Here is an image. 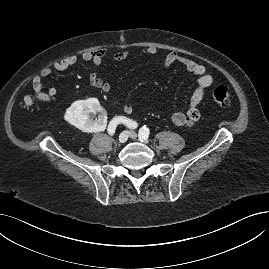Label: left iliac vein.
I'll list each match as a JSON object with an SVG mask.
<instances>
[{"label":"left iliac vein","instance_id":"4c4485c4","mask_svg":"<svg viewBox=\"0 0 269 269\" xmlns=\"http://www.w3.org/2000/svg\"><path fill=\"white\" fill-rule=\"evenodd\" d=\"M129 136H130V138H132V139H137V133L135 132V131H130L129 132ZM146 142V141H145Z\"/></svg>","mask_w":269,"mask_h":269}]
</instances>
